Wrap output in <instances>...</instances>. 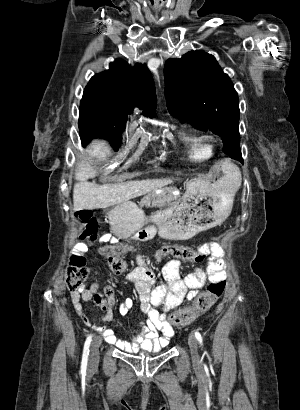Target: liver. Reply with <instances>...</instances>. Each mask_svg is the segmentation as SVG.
Masks as SVG:
<instances>
[{
  "label": "liver",
  "instance_id": "liver-1",
  "mask_svg": "<svg viewBox=\"0 0 300 410\" xmlns=\"http://www.w3.org/2000/svg\"><path fill=\"white\" fill-rule=\"evenodd\" d=\"M87 152L91 158L98 160H105L111 154L108 143L102 140H94L89 145ZM94 173L95 171L89 163L85 161L78 163L75 175L79 182L74 185L73 189L75 211L114 206L171 183L169 179H148L97 185L87 181ZM228 185L233 190L229 183Z\"/></svg>",
  "mask_w": 300,
  "mask_h": 410
}]
</instances>
